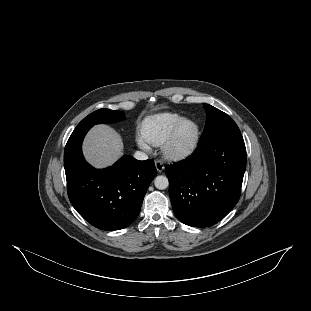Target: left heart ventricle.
Masks as SVG:
<instances>
[{"instance_id":"b2bd125f","label":"left heart ventricle","mask_w":311,"mask_h":311,"mask_svg":"<svg viewBox=\"0 0 311 311\" xmlns=\"http://www.w3.org/2000/svg\"><path fill=\"white\" fill-rule=\"evenodd\" d=\"M195 134V127L193 124L184 125L178 135L177 144L179 147L184 148L187 147Z\"/></svg>"}]
</instances>
